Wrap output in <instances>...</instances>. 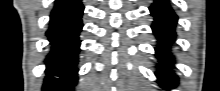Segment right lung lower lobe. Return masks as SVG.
<instances>
[{"label": "right lung lower lobe", "instance_id": "1", "mask_svg": "<svg viewBox=\"0 0 220 91\" xmlns=\"http://www.w3.org/2000/svg\"><path fill=\"white\" fill-rule=\"evenodd\" d=\"M83 10L80 0H58L54 5L46 32L50 52L45 59L43 91H71L78 82L76 65Z\"/></svg>", "mask_w": 220, "mask_h": 91}]
</instances>
